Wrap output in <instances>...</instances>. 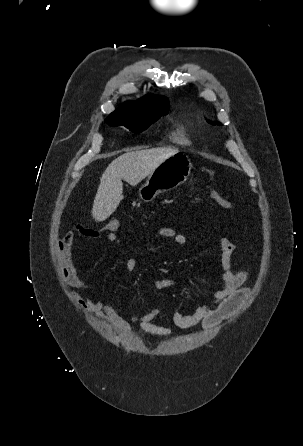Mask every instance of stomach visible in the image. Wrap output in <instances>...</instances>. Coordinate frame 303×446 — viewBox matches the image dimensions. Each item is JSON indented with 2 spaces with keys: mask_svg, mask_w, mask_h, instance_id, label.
Instances as JSON below:
<instances>
[{
  "mask_svg": "<svg viewBox=\"0 0 303 446\" xmlns=\"http://www.w3.org/2000/svg\"><path fill=\"white\" fill-rule=\"evenodd\" d=\"M191 168V161L186 155L177 153L169 157L152 171L140 187L138 192L140 199L150 202L158 194L183 184L190 175Z\"/></svg>",
  "mask_w": 303,
  "mask_h": 446,
  "instance_id": "obj_1",
  "label": "stomach"
}]
</instances>
